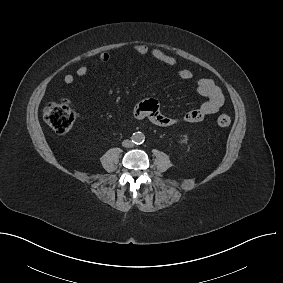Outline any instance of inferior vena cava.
Returning <instances> with one entry per match:
<instances>
[{"label": "inferior vena cava", "mask_w": 283, "mask_h": 283, "mask_svg": "<svg viewBox=\"0 0 283 283\" xmlns=\"http://www.w3.org/2000/svg\"><path fill=\"white\" fill-rule=\"evenodd\" d=\"M122 145L124 146V147H132L134 144H133V142L132 141H130V140H124L123 141V143H122Z\"/></svg>", "instance_id": "obj_1"}]
</instances>
